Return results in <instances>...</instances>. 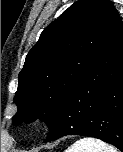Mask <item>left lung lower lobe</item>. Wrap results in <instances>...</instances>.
<instances>
[{
    "label": "left lung lower lobe",
    "mask_w": 123,
    "mask_h": 152,
    "mask_svg": "<svg viewBox=\"0 0 123 152\" xmlns=\"http://www.w3.org/2000/svg\"><path fill=\"white\" fill-rule=\"evenodd\" d=\"M96 137L123 152V24L121 19L62 101L44 142Z\"/></svg>",
    "instance_id": "obj_1"
}]
</instances>
